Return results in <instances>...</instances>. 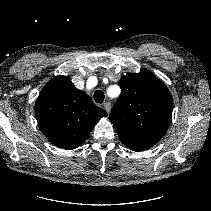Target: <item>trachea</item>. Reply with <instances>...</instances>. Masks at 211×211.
Here are the masks:
<instances>
[{
    "label": "trachea",
    "instance_id": "obj_1",
    "mask_svg": "<svg viewBox=\"0 0 211 211\" xmlns=\"http://www.w3.org/2000/svg\"><path fill=\"white\" fill-rule=\"evenodd\" d=\"M105 98L104 92L101 90H96L94 93V100L96 103H103Z\"/></svg>",
    "mask_w": 211,
    "mask_h": 211
}]
</instances>
